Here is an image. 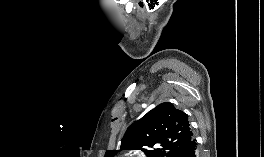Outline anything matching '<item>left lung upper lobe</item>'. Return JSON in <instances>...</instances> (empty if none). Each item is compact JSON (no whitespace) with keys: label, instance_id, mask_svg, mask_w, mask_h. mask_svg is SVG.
<instances>
[{"label":"left lung upper lobe","instance_id":"1","mask_svg":"<svg viewBox=\"0 0 264 157\" xmlns=\"http://www.w3.org/2000/svg\"><path fill=\"white\" fill-rule=\"evenodd\" d=\"M193 140L188 116L172 103H161L127 129L120 150H141L147 157H184ZM118 150H107L114 157Z\"/></svg>","mask_w":264,"mask_h":157}]
</instances>
